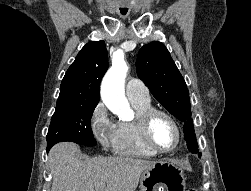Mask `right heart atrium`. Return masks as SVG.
<instances>
[{
    "label": "right heart atrium",
    "mask_w": 251,
    "mask_h": 191,
    "mask_svg": "<svg viewBox=\"0 0 251 191\" xmlns=\"http://www.w3.org/2000/svg\"><path fill=\"white\" fill-rule=\"evenodd\" d=\"M89 130L93 139L104 151L115 149L117 124L111 118L103 101L97 102L90 113Z\"/></svg>",
    "instance_id": "1"
}]
</instances>
